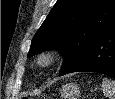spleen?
Returning a JSON list of instances; mask_svg holds the SVG:
<instances>
[{
	"mask_svg": "<svg viewBox=\"0 0 115 99\" xmlns=\"http://www.w3.org/2000/svg\"><path fill=\"white\" fill-rule=\"evenodd\" d=\"M101 86L104 95L109 99H115V80L104 78Z\"/></svg>",
	"mask_w": 115,
	"mask_h": 99,
	"instance_id": "spleen-1",
	"label": "spleen"
}]
</instances>
